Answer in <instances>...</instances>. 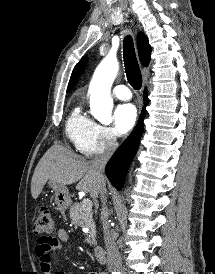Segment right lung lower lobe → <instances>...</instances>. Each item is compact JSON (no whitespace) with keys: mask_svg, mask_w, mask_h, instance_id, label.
Listing matches in <instances>:
<instances>
[{"mask_svg":"<svg viewBox=\"0 0 215 274\" xmlns=\"http://www.w3.org/2000/svg\"><path fill=\"white\" fill-rule=\"evenodd\" d=\"M145 104H147V91L144 95ZM145 108L140 116V121L131 135L116 150L106 165L105 173L114 187L118 190L123 185L128 166L134 157L143 132V119L145 116Z\"/></svg>","mask_w":215,"mask_h":274,"instance_id":"1","label":"right lung lower lobe"}]
</instances>
